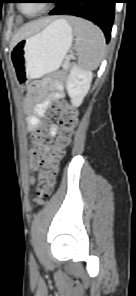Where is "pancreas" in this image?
<instances>
[{
  "instance_id": "1",
  "label": "pancreas",
  "mask_w": 136,
  "mask_h": 296,
  "mask_svg": "<svg viewBox=\"0 0 136 296\" xmlns=\"http://www.w3.org/2000/svg\"><path fill=\"white\" fill-rule=\"evenodd\" d=\"M68 69H69V67H68V68H66V69H65V71H67Z\"/></svg>"
}]
</instances>
